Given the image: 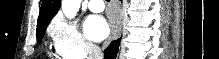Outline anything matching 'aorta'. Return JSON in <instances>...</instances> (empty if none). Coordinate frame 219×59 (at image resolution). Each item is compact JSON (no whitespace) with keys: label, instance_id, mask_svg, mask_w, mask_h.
<instances>
[{"label":"aorta","instance_id":"obj_1","mask_svg":"<svg viewBox=\"0 0 219 59\" xmlns=\"http://www.w3.org/2000/svg\"><path fill=\"white\" fill-rule=\"evenodd\" d=\"M81 0H62L61 7L64 15L72 19L79 11Z\"/></svg>","mask_w":219,"mask_h":59}]
</instances>
